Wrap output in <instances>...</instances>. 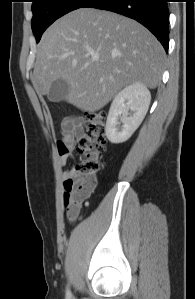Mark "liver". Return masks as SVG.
Returning a JSON list of instances; mask_svg holds the SVG:
<instances>
[{
	"label": "liver",
	"mask_w": 195,
	"mask_h": 299,
	"mask_svg": "<svg viewBox=\"0 0 195 299\" xmlns=\"http://www.w3.org/2000/svg\"><path fill=\"white\" fill-rule=\"evenodd\" d=\"M164 61L162 45L140 23L109 11L79 8L43 34L32 83L39 95H47L52 83L63 79L70 86L64 99L82 111L96 112L130 83L157 87Z\"/></svg>",
	"instance_id": "obj_1"
}]
</instances>
